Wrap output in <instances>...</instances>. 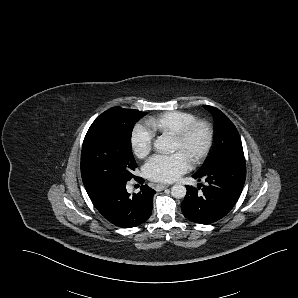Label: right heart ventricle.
I'll use <instances>...</instances> for the list:
<instances>
[{
  "label": "right heart ventricle",
  "mask_w": 298,
  "mask_h": 298,
  "mask_svg": "<svg viewBox=\"0 0 298 298\" xmlns=\"http://www.w3.org/2000/svg\"><path fill=\"white\" fill-rule=\"evenodd\" d=\"M197 120V117L184 111H172L151 117L145 120V124L159 135H166L176 128Z\"/></svg>",
  "instance_id": "e07e8e85"
}]
</instances>
